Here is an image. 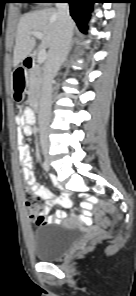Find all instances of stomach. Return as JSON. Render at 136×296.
Wrapping results in <instances>:
<instances>
[{
    "mask_svg": "<svg viewBox=\"0 0 136 296\" xmlns=\"http://www.w3.org/2000/svg\"><path fill=\"white\" fill-rule=\"evenodd\" d=\"M24 90H26V85H12V89H10V94L13 98V101H22Z\"/></svg>",
    "mask_w": 136,
    "mask_h": 296,
    "instance_id": "1",
    "label": "stomach"
}]
</instances>
